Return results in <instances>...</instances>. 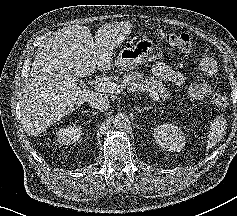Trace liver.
Returning a JSON list of instances; mask_svg holds the SVG:
<instances>
[{
  "instance_id": "6515ba94",
  "label": "liver",
  "mask_w": 237,
  "mask_h": 216,
  "mask_svg": "<svg viewBox=\"0 0 237 216\" xmlns=\"http://www.w3.org/2000/svg\"><path fill=\"white\" fill-rule=\"evenodd\" d=\"M61 32L42 44L22 90V113L31 132L48 129L91 98L94 91L79 89L77 78L90 77L96 69L106 73L113 66V49L96 43L88 27Z\"/></svg>"
}]
</instances>
